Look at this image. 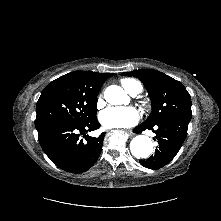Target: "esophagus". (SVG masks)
Listing matches in <instances>:
<instances>
[{"label": "esophagus", "instance_id": "1", "mask_svg": "<svg viewBox=\"0 0 221 221\" xmlns=\"http://www.w3.org/2000/svg\"><path fill=\"white\" fill-rule=\"evenodd\" d=\"M127 133H128V135H129L130 137H133V136H134V133H133L132 131H127Z\"/></svg>", "mask_w": 221, "mask_h": 221}]
</instances>
